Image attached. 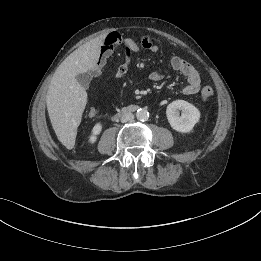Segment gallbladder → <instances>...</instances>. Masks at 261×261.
Listing matches in <instances>:
<instances>
[{"instance_id": "obj_1", "label": "gallbladder", "mask_w": 261, "mask_h": 261, "mask_svg": "<svg viewBox=\"0 0 261 261\" xmlns=\"http://www.w3.org/2000/svg\"><path fill=\"white\" fill-rule=\"evenodd\" d=\"M77 81L83 88H88L91 82L92 76L90 72L80 73L76 76Z\"/></svg>"}]
</instances>
